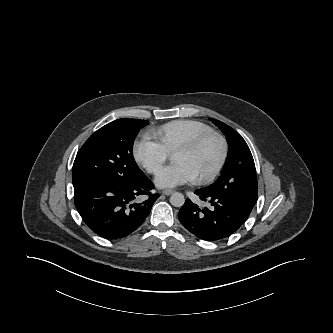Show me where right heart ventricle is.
<instances>
[{"instance_id":"obj_1","label":"right heart ventricle","mask_w":333,"mask_h":333,"mask_svg":"<svg viewBox=\"0 0 333 333\" xmlns=\"http://www.w3.org/2000/svg\"><path fill=\"white\" fill-rule=\"evenodd\" d=\"M212 130L210 125L200 120L178 119L151 129L149 135L156 138L168 153H172L185 142Z\"/></svg>"}]
</instances>
